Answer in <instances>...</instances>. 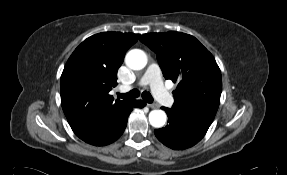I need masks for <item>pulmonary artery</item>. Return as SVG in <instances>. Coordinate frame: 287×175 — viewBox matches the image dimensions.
I'll use <instances>...</instances> for the list:
<instances>
[{
	"mask_svg": "<svg viewBox=\"0 0 287 175\" xmlns=\"http://www.w3.org/2000/svg\"><path fill=\"white\" fill-rule=\"evenodd\" d=\"M139 85L141 86L149 85L154 97L162 105L170 106L172 104L173 98L162 83L160 76V69L157 64L152 63L148 66L144 75L139 81ZM129 89H130L129 87L125 86H121L119 88L121 92H126Z\"/></svg>",
	"mask_w": 287,
	"mask_h": 175,
	"instance_id": "obj_1",
	"label": "pulmonary artery"
}]
</instances>
